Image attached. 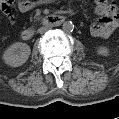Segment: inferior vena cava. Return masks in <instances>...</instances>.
Masks as SVG:
<instances>
[{
	"mask_svg": "<svg viewBox=\"0 0 119 119\" xmlns=\"http://www.w3.org/2000/svg\"><path fill=\"white\" fill-rule=\"evenodd\" d=\"M49 29H50L49 26H43V27H41V28L38 30V32L41 33V34H43V33H45L46 31H48Z\"/></svg>",
	"mask_w": 119,
	"mask_h": 119,
	"instance_id": "602c4592",
	"label": "inferior vena cava"
}]
</instances>
